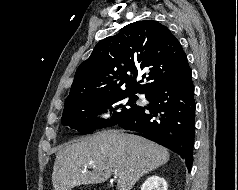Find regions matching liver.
<instances>
[{
	"instance_id": "obj_1",
	"label": "liver",
	"mask_w": 238,
	"mask_h": 190,
	"mask_svg": "<svg viewBox=\"0 0 238 190\" xmlns=\"http://www.w3.org/2000/svg\"><path fill=\"white\" fill-rule=\"evenodd\" d=\"M169 158L167 149L141 136L99 132L58 151L52 183L54 190H71L79 185L103 183L114 173L118 190H131L143 175Z\"/></svg>"
}]
</instances>
